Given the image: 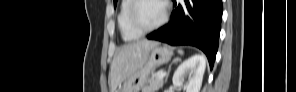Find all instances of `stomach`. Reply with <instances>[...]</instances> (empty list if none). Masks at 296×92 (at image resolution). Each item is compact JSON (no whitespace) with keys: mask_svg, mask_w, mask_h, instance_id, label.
Returning <instances> with one entry per match:
<instances>
[{"mask_svg":"<svg viewBox=\"0 0 296 92\" xmlns=\"http://www.w3.org/2000/svg\"><path fill=\"white\" fill-rule=\"evenodd\" d=\"M172 55V51L166 46L153 47L146 62L125 80L119 92H140L155 70L168 63Z\"/></svg>","mask_w":296,"mask_h":92,"instance_id":"obj_1","label":"stomach"}]
</instances>
